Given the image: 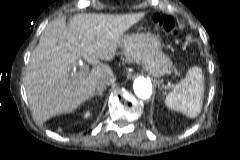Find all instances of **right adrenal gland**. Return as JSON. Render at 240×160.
Masks as SVG:
<instances>
[{
  "label": "right adrenal gland",
  "mask_w": 240,
  "mask_h": 160,
  "mask_svg": "<svg viewBox=\"0 0 240 160\" xmlns=\"http://www.w3.org/2000/svg\"><path fill=\"white\" fill-rule=\"evenodd\" d=\"M104 90H105V88L97 89V91L94 92V95H93V96H102Z\"/></svg>",
  "instance_id": "1"
}]
</instances>
